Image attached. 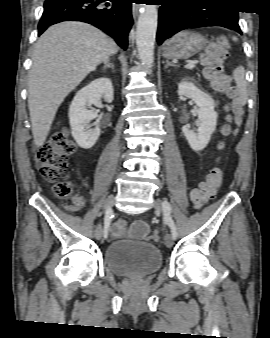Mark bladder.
I'll return each mask as SVG.
<instances>
[{
    "label": "bladder",
    "instance_id": "obj_1",
    "mask_svg": "<svg viewBox=\"0 0 270 338\" xmlns=\"http://www.w3.org/2000/svg\"><path fill=\"white\" fill-rule=\"evenodd\" d=\"M162 262L161 251L145 242H111L105 248L106 267L124 278L148 277L161 268Z\"/></svg>",
    "mask_w": 270,
    "mask_h": 338
}]
</instances>
